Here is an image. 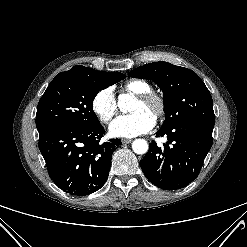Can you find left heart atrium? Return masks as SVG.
I'll use <instances>...</instances> for the list:
<instances>
[{
    "mask_svg": "<svg viewBox=\"0 0 247 247\" xmlns=\"http://www.w3.org/2000/svg\"><path fill=\"white\" fill-rule=\"evenodd\" d=\"M155 117L143 110L116 118L110 125V134L116 137H135L150 131Z\"/></svg>",
    "mask_w": 247,
    "mask_h": 247,
    "instance_id": "1",
    "label": "left heart atrium"
}]
</instances>
